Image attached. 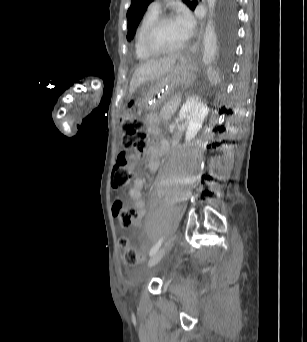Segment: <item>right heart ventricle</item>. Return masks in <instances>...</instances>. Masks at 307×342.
<instances>
[{
  "label": "right heart ventricle",
  "instance_id": "1",
  "mask_svg": "<svg viewBox=\"0 0 307 342\" xmlns=\"http://www.w3.org/2000/svg\"><path fill=\"white\" fill-rule=\"evenodd\" d=\"M158 16V12L151 10L150 8H147L144 10V12L141 14L137 27L134 34V53L138 60L147 62L152 59H154L153 56L147 54L144 49L142 48L141 40L143 33L148 26V24Z\"/></svg>",
  "mask_w": 307,
  "mask_h": 342
}]
</instances>
